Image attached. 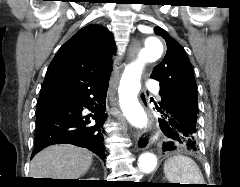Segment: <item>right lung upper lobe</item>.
<instances>
[{"label":"right lung upper lobe","mask_w":240,"mask_h":187,"mask_svg":"<svg viewBox=\"0 0 240 187\" xmlns=\"http://www.w3.org/2000/svg\"><path fill=\"white\" fill-rule=\"evenodd\" d=\"M115 49L113 35L106 28L83 27L62 45L51 61L38 102L73 95L94 82L109 80Z\"/></svg>","instance_id":"right-lung-upper-lobe-1"}]
</instances>
